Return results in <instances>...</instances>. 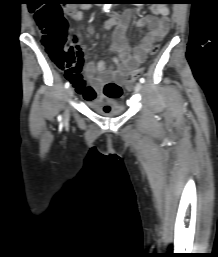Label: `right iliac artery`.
Returning a JSON list of instances; mask_svg holds the SVG:
<instances>
[{
    "instance_id": "obj_1",
    "label": "right iliac artery",
    "mask_w": 218,
    "mask_h": 257,
    "mask_svg": "<svg viewBox=\"0 0 218 257\" xmlns=\"http://www.w3.org/2000/svg\"><path fill=\"white\" fill-rule=\"evenodd\" d=\"M69 86H70V83L67 81V82L65 83V88H68ZM61 119H62L61 116H59V117H58V120L61 121Z\"/></svg>"
}]
</instances>
